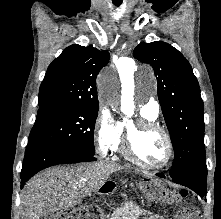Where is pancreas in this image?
Returning a JSON list of instances; mask_svg holds the SVG:
<instances>
[{
	"label": "pancreas",
	"mask_w": 221,
	"mask_h": 219,
	"mask_svg": "<svg viewBox=\"0 0 221 219\" xmlns=\"http://www.w3.org/2000/svg\"><path fill=\"white\" fill-rule=\"evenodd\" d=\"M145 212L134 202H129L115 210L110 219H139Z\"/></svg>",
	"instance_id": "obj_1"
}]
</instances>
